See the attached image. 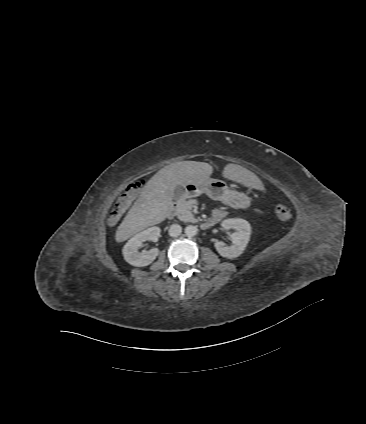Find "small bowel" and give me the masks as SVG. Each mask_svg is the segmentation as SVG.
Listing matches in <instances>:
<instances>
[{"instance_id": "obj_1", "label": "small bowel", "mask_w": 366, "mask_h": 424, "mask_svg": "<svg viewBox=\"0 0 366 424\" xmlns=\"http://www.w3.org/2000/svg\"><path fill=\"white\" fill-rule=\"evenodd\" d=\"M226 216V211L221 208H216L213 211L212 219H214L216 222L221 221Z\"/></svg>"}]
</instances>
